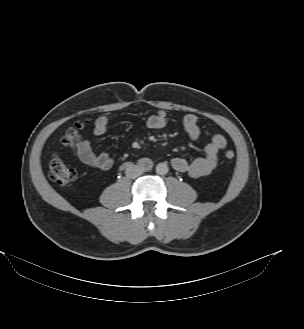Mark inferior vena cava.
I'll return each mask as SVG.
<instances>
[{
	"label": "inferior vena cava",
	"instance_id": "1",
	"mask_svg": "<svg viewBox=\"0 0 304 329\" xmlns=\"http://www.w3.org/2000/svg\"><path fill=\"white\" fill-rule=\"evenodd\" d=\"M143 173V169L137 165H131L126 169V176L135 178Z\"/></svg>",
	"mask_w": 304,
	"mask_h": 329
}]
</instances>
